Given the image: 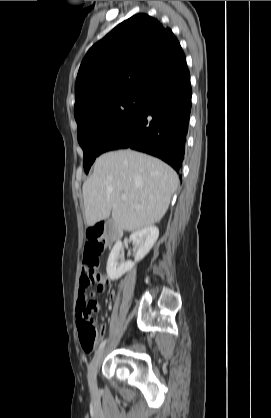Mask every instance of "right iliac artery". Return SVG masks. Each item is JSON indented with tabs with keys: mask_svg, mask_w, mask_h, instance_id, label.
Segmentation results:
<instances>
[{
	"mask_svg": "<svg viewBox=\"0 0 271 418\" xmlns=\"http://www.w3.org/2000/svg\"><path fill=\"white\" fill-rule=\"evenodd\" d=\"M107 340H104L100 343L98 350H101L102 348H104L105 344H106Z\"/></svg>",
	"mask_w": 271,
	"mask_h": 418,
	"instance_id": "right-iliac-artery-1",
	"label": "right iliac artery"
}]
</instances>
